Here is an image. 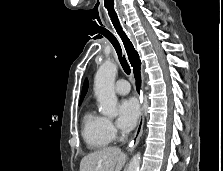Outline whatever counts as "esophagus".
I'll return each instance as SVG.
<instances>
[{
    "instance_id": "obj_1",
    "label": "esophagus",
    "mask_w": 223,
    "mask_h": 171,
    "mask_svg": "<svg viewBox=\"0 0 223 171\" xmlns=\"http://www.w3.org/2000/svg\"><path fill=\"white\" fill-rule=\"evenodd\" d=\"M109 17L111 18V22H113L112 29H114V31H117V35H120V38L124 42L125 49H126V56H128V61L130 63V66L132 69V75L134 78V88L141 104L138 125L134 133V136L129 143V148H134L139 142V139L143 131V125H144V113H143V105H142V102H143V89H142L143 62L141 60L139 51H136V49L133 47L134 42L130 41L128 30H125V26H123L122 14L110 13Z\"/></svg>"
}]
</instances>
